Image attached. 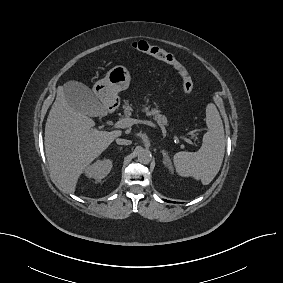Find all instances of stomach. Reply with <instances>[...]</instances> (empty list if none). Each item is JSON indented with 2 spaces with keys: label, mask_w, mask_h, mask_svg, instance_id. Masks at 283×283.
I'll return each instance as SVG.
<instances>
[{
  "label": "stomach",
  "mask_w": 283,
  "mask_h": 283,
  "mask_svg": "<svg viewBox=\"0 0 283 283\" xmlns=\"http://www.w3.org/2000/svg\"><path fill=\"white\" fill-rule=\"evenodd\" d=\"M131 76L126 67L118 65L110 69L106 76L97 81L93 91L104 106H110L117 102L118 92L129 87Z\"/></svg>",
  "instance_id": "stomach-1"
}]
</instances>
